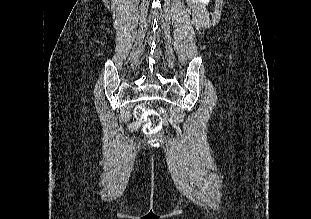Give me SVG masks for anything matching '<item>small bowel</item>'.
I'll use <instances>...</instances> for the list:
<instances>
[{
	"label": "small bowel",
	"instance_id": "obj_1",
	"mask_svg": "<svg viewBox=\"0 0 311 219\" xmlns=\"http://www.w3.org/2000/svg\"><path fill=\"white\" fill-rule=\"evenodd\" d=\"M138 126V123L137 122H135L134 124H133V127H137Z\"/></svg>",
	"mask_w": 311,
	"mask_h": 219
}]
</instances>
